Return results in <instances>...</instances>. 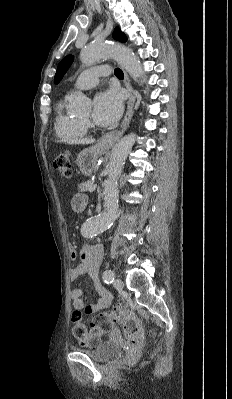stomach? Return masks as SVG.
Returning <instances> with one entry per match:
<instances>
[{
	"label": "stomach",
	"mask_w": 232,
	"mask_h": 399,
	"mask_svg": "<svg viewBox=\"0 0 232 399\" xmlns=\"http://www.w3.org/2000/svg\"><path fill=\"white\" fill-rule=\"evenodd\" d=\"M105 152H108V150L102 148L99 142V144H95L91 148H85L78 154L76 164L84 176H91L100 156H103Z\"/></svg>",
	"instance_id": "obj_1"
}]
</instances>
